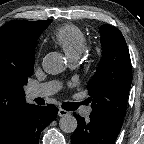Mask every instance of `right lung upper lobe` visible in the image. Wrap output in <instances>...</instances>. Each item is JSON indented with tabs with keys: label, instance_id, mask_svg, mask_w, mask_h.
<instances>
[{
	"label": "right lung upper lobe",
	"instance_id": "obj_1",
	"mask_svg": "<svg viewBox=\"0 0 144 144\" xmlns=\"http://www.w3.org/2000/svg\"><path fill=\"white\" fill-rule=\"evenodd\" d=\"M52 20H13L0 28V137L29 105L20 69L34 62L35 43Z\"/></svg>",
	"mask_w": 144,
	"mask_h": 144
}]
</instances>
